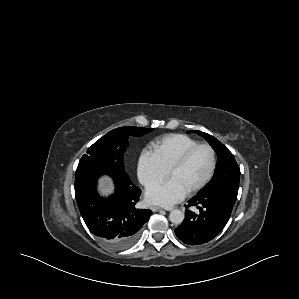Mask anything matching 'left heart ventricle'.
Segmentation results:
<instances>
[{
    "instance_id": "b2bd125f",
    "label": "left heart ventricle",
    "mask_w": 299,
    "mask_h": 299,
    "mask_svg": "<svg viewBox=\"0 0 299 299\" xmlns=\"http://www.w3.org/2000/svg\"><path fill=\"white\" fill-rule=\"evenodd\" d=\"M210 167V151L207 148H199L191 155L186 164L175 171L170 178L188 191L206 177Z\"/></svg>"
}]
</instances>
